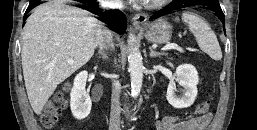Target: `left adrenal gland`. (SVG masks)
Returning <instances> with one entry per match:
<instances>
[{"label":"left adrenal gland","instance_id":"obj_1","mask_svg":"<svg viewBox=\"0 0 257 130\" xmlns=\"http://www.w3.org/2000/svg\"><path fill=\"white\" fill-rule=\"evenodd\" d=\"M150 49V57L154 58V57H160V56H166L165 53H161V52H155L151 47H149Z\"/></svg>","mask_w":257,"mask_h":130}]
</instances>
